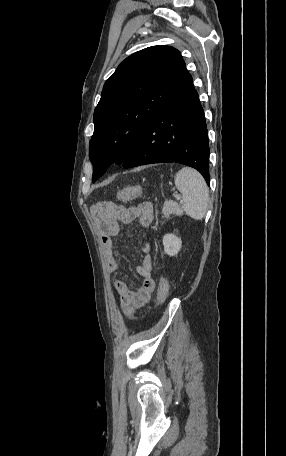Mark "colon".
<instances>
[{
  "mask_svg": "<svg viewBox=\"0 0 286 456\" xmlns=\"http://www.w3.org/2000/svg\"><path fill=\"white\" fill-rule=\"evenodd\" d=\"M141 187L132 186L120 190L117 194L119 200L125 201L136 198L141 193ZM113 202L103 201L96 204V209L98 210H111ZM169 294V284L166 279H162L159 284L158 293H157V302L159 304L163 303Z\"/></svg>",
  "mask_w": 286,
  "mask_h": 456,
  "instance_id": "1",
  "label": "colon"
}]
</instances>
